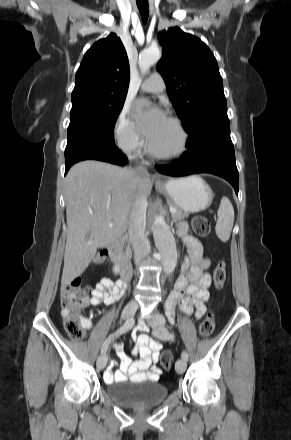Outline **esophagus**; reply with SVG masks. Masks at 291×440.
<instances>
[{
    "instance_id": "esophagus-1",
    "label": "esophagus",
    "mask_w": 291,
    "mask_h": 440,
    "mask_svg": "<svg viewBox=\"0 0 291 440\" xmlns=\"http://www.w3.org/2000/svg\"><path fill=\"white\" fill-rule=\"evenodd\" d=\"M156 181H157V182H161V179L157 176V177H156Z\"/></svg>"
}]
</instances>
